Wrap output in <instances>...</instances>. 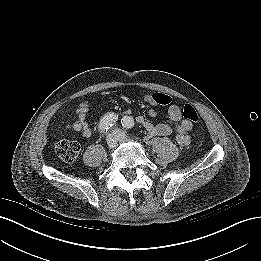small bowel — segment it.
<instances>
[{"label":"small bowel","instance_id":"obj_1","mask_svg":"<svg viewBox=\"0 0 261 261\" xmlns=\"http://www.w3.org/2000/svg\"><path fill=\"white\" fill-rule=\"evenodd\" d=\"M143 99L145 102L154 107L162 105L156 101L154 93L144 95ZM89 110L90 102L88 100L82 101L79 104L78 109L76 110L77 121L81 125V133L84 137H90L92 135V130L87 120V114ZM148 114L151 117H155L157 115V112L154 108H151L148 111ZM168 117L169 123L154 124L151 121L147 120L144 115H138L136 117V122L142 125L151 136L170 135L174 127L176 132V142L181 146L188 145L190 143L189 131L192 129L193 124L182 117L181 109L178 105L173 103L168 106Z\"/></svg>","mask_w":261,"mask_h":261}]
</instances>
